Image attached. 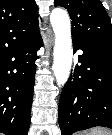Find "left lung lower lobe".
Returning <instances> with one entry per match:
<instances>
[{
  "mask_svg": "<svg viewBox=\"0 0 112 135\" xmlns=\"http://www.w3.org/2000/svg\"><path fill=\"white\" fill-rule=\"evenodd\" d=\"M83 51L59 100L61 135L91 127L112 128V48L73 41Z\"/></svg>",
  "mask_w": 112,
  "mask_h": 135,
  "instance_id": "left-lung-lower-lobe-1",
  "label": "left lung lower lobe"
}]
</instances>
